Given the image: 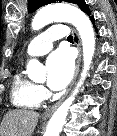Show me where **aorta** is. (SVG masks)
<instances>
[{
    "instance_id": "762f6f07",
    "label": "aorta",
    "mask_w": 117,
    "mask_h": 136,
    "mask_svg": "<svg viewBox=\"0 0 117 136\" xmlns=\"http://www.w3.org/2000/svg\"><path fill=\"white\" fill-rule=\"evenodd\" d=\"M51 22H69L76 27L82 41L84 61L81 78L77 83L76 88L71 96L68 97L54 112L45 132V136H59L65 123L70 105L74 101L75 95L78 93L79 87L83 84L90 68L95 51V33L89 18L80 9L70 5L55 4L42 8L32 20V29L39 30ZM44 73L45 68L38 60L31 59L28 62L27 74L31 79H36Z\"/></svg>"
}]
</instances>
